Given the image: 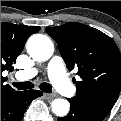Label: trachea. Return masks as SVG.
I'll return each mask as SVG.
<instances>
[{"label":"trachea","mask_w":121,"mask_h":121,"mask_svg":"<svg viewBox=\"0 0 121 121\" xmlns=\"http://www.w3.org/2000/svg\"><path fill=\"white\" fill-rule=\"evenodd\" d=\"M13 85L15 87H17V89H19V90H26V89H31V88L34 87V84L29 82V81L13 83ZM39 87L43 92H46V93L52 92V87L48 83L43 82V83L40 84Z\"/></svg>","instance_id":"obj_1"}]
</instances>
